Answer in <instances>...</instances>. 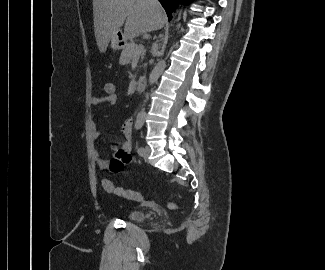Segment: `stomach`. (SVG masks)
<instances>
[{
	"mask_svg": "<svg viewBox=\"0 0 325 270\" xmlns=\"http://www.w3.org/2000/svg\"><path fill=\"white\" fill-rule=\"evenodd\" d=\"M127 38L123 33L117 32L116 35L111 39V47L114 50H119L125 47Z\"/></svg>",
	"mask_w": 325,
	"mask_h": 270,
	"instance_id": "1",
	"label": "stomach"
}]
</instances>
